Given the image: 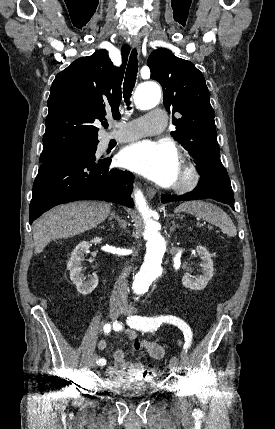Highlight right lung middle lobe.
Returning a JSON list of instances; mask_svg holds the SVG:
<instances>
[{"label":"right lung middle lobe","mask_w":275,"mask_h":429,"mask_svg":"<svg viewBox=\"0 0 275 429\" xmlns=\"http://www.w3.org/2000/svg\"><path fill=\"white\" fill-rule=\"evenodd\" d=\"M98 143H90L68 149L62 153L40 158L41 165L69 160H88L95 158Z\"/></svg>","instance_id":"right-lung-middle-lobe-1"}]
</instances>
